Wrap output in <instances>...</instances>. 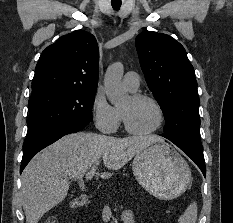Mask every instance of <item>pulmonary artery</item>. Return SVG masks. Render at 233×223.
Wrapping results in <instances>:
<instances>
[{"mask_svg":"<svg viewBox=\"0 0 233 223\" xmlns=\"http://www.w3.org/2000/svg\"><path fill=\"white\" fill-rule=\"evenodd\" d=\"M123 85L127 90L135 92L140 85L139 74L134 71H128L123 77Z\"/></svg>","mask_w":233,"mask_h":223,"instance_id":"e3ab8cb5","label":"pulmonary artery"}]
</instances>
